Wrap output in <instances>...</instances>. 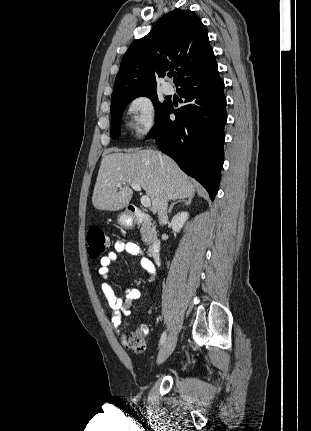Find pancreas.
<instances>
[{
  "mask_svg": "<svg viewBox=\"0 0 311 431\" xmlns=\"http://www.w3.org/2000/svg\"><path fill=\"white\" fill-rule=\"evenodd\" d=\"M140 233L142 235V241H144L146 245H150V243H153V241L157 239L156 227L152 221H149V223H142Z\"/></svg>",
  "mask_w": 311,
  "mask_h": 431,
  "instance_id": "1",
  "label": "pancreas"
}]
</instances>
